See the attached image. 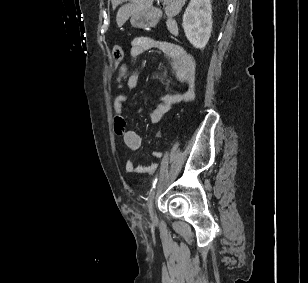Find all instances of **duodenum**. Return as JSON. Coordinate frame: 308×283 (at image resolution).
<instances>
[{"label": "duodenum", "mask_w": 308, "mask_h": 283, "mask_svg": "<svg viewBox=\"0 0 308 283\" xmlns=\"http://www.w3.org/2000/svg\"><path fill=\"white\" fill-rule=\"evenodd\" d=\"M159 20H160L159 13L151 10L147 13L146 18L143 20V23L147 26H153V25H156ZM166 25L171 34L173 35L178 34V25L175 20L167 19Z\"/></svg>", "instance_id": "obj_1"}]
</instances>
